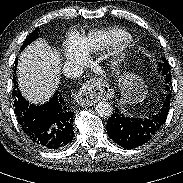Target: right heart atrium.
I'll return each mask as SVG.
<instances>
[{"instance_id":"1","label":"right heart atrium","mask_w":183,"mask_h":183,"mask_svg":"<svg viewBox=\"0 0 183 183\" xmlns=\"http://www.w3.org/2000/svg\"><path fill=\"white\" fill-rule=\"evenodd\" d=\"M66 57L77 61H83L85 58L81 52V49H79L74 42L69 43L67 46Z\"/></svg>"}]
</instances>
